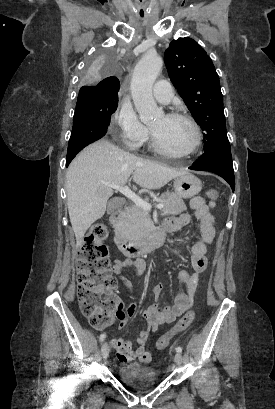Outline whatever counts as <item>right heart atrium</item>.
Masks as SVG:
<instances>
[{
    "mask_svg": "<svg viewBox=\"0 0 275 409\" xmlns=\"http://www.w3.org/2000/svg\"><path fill=\"white\" fill-rule=\"evenodd\" d=\"M112 124L116 143H126V152H136L149 134L136 112L125 103H119L113 113Z\"/></svg>",
    "mask_w": 275,
    "mask_h": 409,
    "instance_id": "1",
    "label": "right heart atrium"
}]
</instances>
